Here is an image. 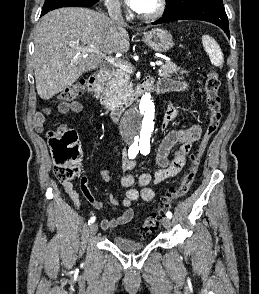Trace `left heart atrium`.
I'll list each match as a JSON object with an SVG mask.
<instances>
[{"instance_id":"left-heart-atrium-1","label":"left heart atrium","mask_w":259,"mask_h":294,"mask_svg":"<svg viewBox=\"0 0 259 294\" xmlns=\"http://www.w3.org/2000/svg\"><path fill=\"white\" fill-rule=\"evenodd\" d=\"M125 1L132 9L138 11L145 0H125Z\"/></svg>"}]
</instances>
